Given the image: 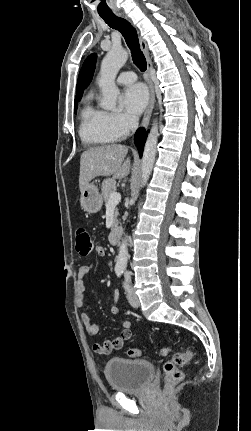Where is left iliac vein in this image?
<instances>
[{
  "mask_svg": "<svg viewBox=\"0 0 251 431\" xmlns=\"http://www.w3.org/2000/svg\"><path fill=\"white\" fill-rule=\"evenodd\" d=\"M127 297H128L129 303L133 307H135V308L139 307V304H140L139 299H138L137 295L134 293V291L130 288L128 289Z\"/></svg>",
  "mask_w": 251,
  "mask_h": 431,
  "instance_id": "1",
  "label": "left iliac vein"
}]
</instances>
